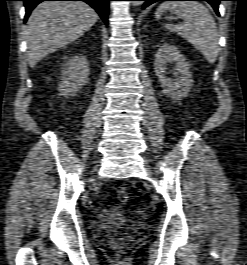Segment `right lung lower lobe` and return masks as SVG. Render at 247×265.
<instances>
[{
  "label": "right lung lower lobe",
  "mask_w": 247,
  "mask_h": 265,
  "mask_svg": "<svg viewBox=\"0 0 247 265\" xmlns=\"http://www.w3.org/2000/svg\"><path fill=\"white\" fill-rule=\"evenodd\" d=\"M24 1L26 8V15L24 21H26L35 8V6L43 1H84L93 7L97 13L100 15L101 19L105 24H108V11H109V1L111 0H22Z\"/></svg>",
  "instance_id": "right-lung-lower-lobe-1"
}]
</instances>
